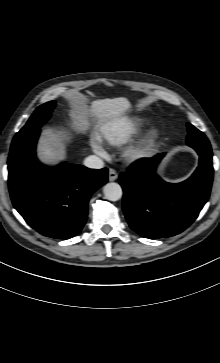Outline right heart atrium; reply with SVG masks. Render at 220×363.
Wrapping results in <instances>:
<instances>
[{"label":"right heart atrium","mask_w":220,"mask_h":363,"mask_svg":"<svg viewBox=\"0 0 220 363\" xmlns=\"http://www.w3.org/2000/svg\"><path fill=\"white\" fill-rule=\"evenodd\" d=\"M90 144H91L92 149L96 153H98L100 155H104L105 154L104 146H103V144L101 143V141L99 139H97V138L91 139Z\"/></svg>","instance_id":"d8ad5b80"}]
</instances>
